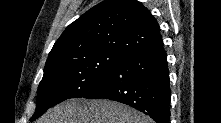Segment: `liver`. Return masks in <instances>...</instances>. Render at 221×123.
<instances>
[{
    "instance_id": "6515ba94",
    "label": "liver",
    "mask_w": 221,
    "mask_h": 123,
    "mask_svg": "<svg viewBox=\"0 0 221 123\" xmlns=\"http://www.w3.org/2000/svg\"><path fill=\"white\" fill-rule=\"evenodd\" d=\"M38 123H153L144 114L109 100L70 99L50 109Z\"/></svg>"
}]
</instances>
